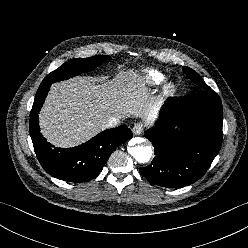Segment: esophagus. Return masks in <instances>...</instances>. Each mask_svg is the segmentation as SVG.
<instances>
[{
    "instance_id": "obj_1",
    "label": "esophagus",
    "mask_w": 248,
    "mask_h": 248,
    "mask_svg": "<svg viewBox=\"0 0 248 248\" xmlns=\"http://www.w3.org/2000/svg\"><path fill=\"white\" fill-rule=\"evenodd\" d=\"M143 130H144V124L141 123V122L136 123V124L134 125L133 129H132V131H133V133H134L135 135H140V134H142Z\"/></svg>"
}]
</instances>
